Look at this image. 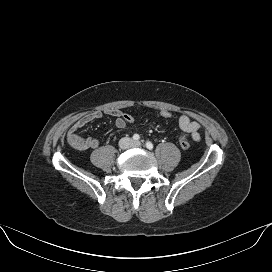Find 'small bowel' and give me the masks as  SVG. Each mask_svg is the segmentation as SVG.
I'll return each instance as SVG.
<instances>
[{
    "label": "small bowel",
    "instance_id": "c3829d8e",
    "mask_svg": "<svg viewBox=\"0 0 272 272\" xmlns=\"http://www.w3.org/2000/svg\"><path fill=\"white\" fill-rule=\"evenodd\" d=\"M106 114L115 118V126L122 129L126 126L123 119V113L118 109H109L105 111ZM102 111H93L80 117L68 130L67 141L75 149L80 151L93 150L99 147V140L94 137L84 138L79 135V131L92 121L103 117ZM178 125L182 131L188 133L194 141H200L201 126L198 122L192 120L186 114H180L178 117Z\"/></svg>",
    "mask_w": 272,
    "mask_h": 272
}]
</instances>
